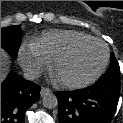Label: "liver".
<instances>
[{
  "mask_svg": "<svg viewBox=\"0 0 123 123\" xmlns=\"http://www.w3.org/2000/svg\"><path fill=\"white\" fill-rule=\"evenodd\" d=\"M9 63H10V58L8 54L1 49V82L6 77Z\"/></svg>",
  "mask_w": 123,
  "mask_h": 123,
  "instance_id": "obj_1",
  "label": "liver"
}]
</instances>
